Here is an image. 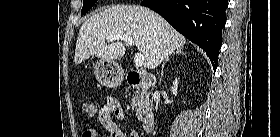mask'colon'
Returning a JSON list of instances; mask_svg holds the SVG:
<instances>
[{"instance_id": "5ec220e1", "label": "colon", "mask_w": 280, "mask_h": 137, "mask_svg": "<svg viewBox=\"0 0 280 137\" xmlns=\"http://www.w3.org/2000/svg\"><path fill=\"white\" fill-rule=\"evenodd\" d=\"M81 109L88 117H95L98 113L99 107L95 101L92 100H83L81 102ZM85 133V132H84ZM84 136V134H83ZM90 137L91 135H87Z\"/></svg>"}]
</instances>
